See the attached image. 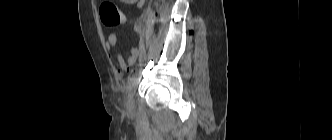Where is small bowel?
I'll list each match as a JSON object with an SVG mask.
<instances>
[{"label":"small bowel","instance_id":"c3829d8e","mask_svg":"<svg viewBox=\"0 0 332 140\" xmlns=\"http://www.w3.org/2000/svg\"><path fill=\"white\" fill-rule=\"evenodd\" d=\"M123 4L127 5H135L137 8H141L144 6L146 0H119ZM106 47L108 50L114 51V56L118 62V65L121 70H125L128 66L133 65L138 57L139 51L137 48H133L131 50L130 55L125 60L122 54L116 49L117 47V36L114 33L109 34L106 42Z\"/></svg>","mask_w":332,"mask_h":140}]
</instances>
